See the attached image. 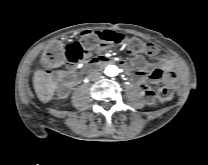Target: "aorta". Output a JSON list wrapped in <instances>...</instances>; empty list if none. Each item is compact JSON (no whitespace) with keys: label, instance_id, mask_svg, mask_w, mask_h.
Returning <instances> with one entry per match:
<instances>
[{"label":"aorta","instance_id":"762f6f07","mask_svg":"<svg viewBox=\"0 0 208 165\" xmlns=\"http://www.w3.org/2000/svg\"><path fill=\"white\" fill-rule=\"evenodd\" d=\"M119 73V69L115 65H108L105 69V74L110 77L117 76Z\"/></svg>","mask_w":208,"mask_h":165}]
</instances>
